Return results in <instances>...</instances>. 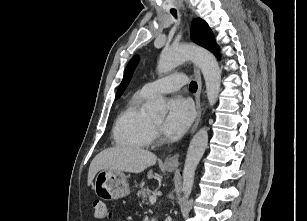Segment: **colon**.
Returning <instances> with one entry per match:
<instances>
[{
    "label": "colon",
    "instance_id": "1",
    "mask_svg": "<svg viewBox=\"0 0 307 221\" xmlns=\"http://www.w3.org/2000/svg\"><path fill=\"white\" fill-rule=\"evenodd\" d=\"M93 208L95 218L103 220L110 217V210L105 201L95 200L93 202Z\"/></svg>",
    "mask_w": 307,
    "mask_h": 221
}]
</instances>
